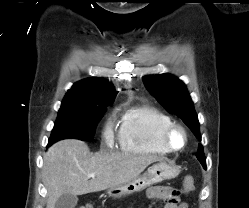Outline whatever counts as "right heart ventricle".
<instances>
[{
    "instance_id": "obj_1",
    "label": "right heart ventricle",
    "mask_w": 249,
    "mask_h": 208,
    "mask_svg": "<svg viewBox=\"0 0 249 208\" xmlns=\"http://www.w3.org/2000/svg\"><path fill=\"white\" fill-rule=\"evenodd\" d=\"M173 123L163 111L148 105L134 106L123 114L119 129L122 150L135 154H167L160 141L162 130Z\"/></svg>"
}]
</instances>
